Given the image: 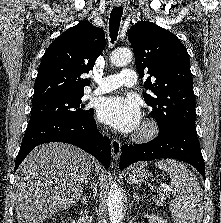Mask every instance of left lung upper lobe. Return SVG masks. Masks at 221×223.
Segmentation results:
<instances>
[{
    "instance_id": "5c2ea615",
    "label": "left lung upper lobe",
    "mask_w": 221,
    "mask_h": 223,
    "mask_svg": "<svg viewBox=\"0 0 221 223\" xmlns=\"http://www.w3.org/2000/svg\"><path fill=\"white\" fill-rule=\"evenodd\" d=\"M128 39L135 54L136 68L152 95L144 94L159 134L177 123L195 124V95L189 55L180 40L155 23L141 21L133 25ZM151 77L152 80H151Z\"/></svg>"
}]
</instances>
